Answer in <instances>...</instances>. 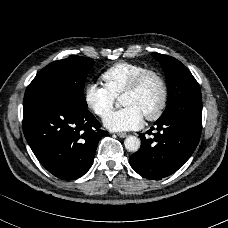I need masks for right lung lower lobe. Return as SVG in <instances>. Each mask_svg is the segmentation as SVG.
<instances>
[{"instance_id": "1", "label": "right lung lower lobe", "mask_w": 228, "mask_h": 228, "mask_svg": "<svg viewBox=\"0 0 228 228\" xmlns=\"http://www.w3.org/2000/svg\"><path fill=\"white\" fill-rule=\"evenodd\" d=\"M23 131L39 162L54 176L74 180L91 167L99 140L108 134L87 108L64 97L24 98Z\"/></svg>"}]
</instances>
